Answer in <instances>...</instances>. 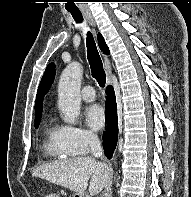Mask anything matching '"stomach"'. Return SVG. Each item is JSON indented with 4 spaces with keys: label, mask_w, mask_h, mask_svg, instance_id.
I'll return each instance as SVG.
<instances>
[{
    "label": "stomach",
    "mask_w": 191,
    "mask_h": 197,
    "mask_svg": "<svg viewBox=\"0 0 191 197\" xmlns=\"http://www.w3.org/2000/svg\"><path fill=\"white\" fill-rule=\"evenodd\" d=\"M73 197H82V195H80V194L76 193V194H74V196H73Z\"/></svg>",
    "instance_id": "stomach-1"
}]
</instances>
